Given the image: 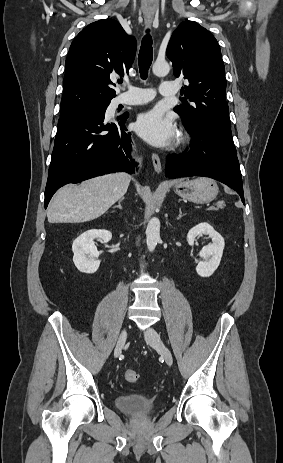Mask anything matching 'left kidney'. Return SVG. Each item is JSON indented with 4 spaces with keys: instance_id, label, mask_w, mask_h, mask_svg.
I'll use <instances>...</instances> for the list:
<instances>
[{
    "instance_id": "1",
    "label": "left kidney",
    "mask_w": 283,
    "mask_h": 463,
    "mask_svg": "<svg viewBox=\"0 0 283 463\" xmlns=\"http://www.w3.org/2000/svg\"><path fill=\"white\" fill-rule=\"evenodd\" d=\"M209 235L212 244L202 248L199 256L203 259L199 261L196 272L201 277L211 276L218 268L225 246L224 238L208 223L202 222L191 228L187 234V242L190 246L194 245L196 237Z\"/></svg>"
}]
</instances>
